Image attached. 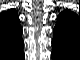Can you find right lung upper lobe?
<instances>
[{"mask_svg": "<svg viewBox=\"0 0 80 60\" xmlns=\"http://www.w3.org/2000/svg\"><path fill=\"white\" fill-rule=\"evenodd\" d=\"M22 45V29L18 15L14 9H10L0 17V50L16 51Z\"/></svg>", "mask_w": 80, "mask_h": 60, "instance_id": "obj_1", "label": "right lung upper lobe"}]
</instances>
